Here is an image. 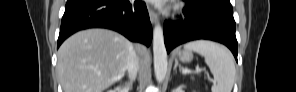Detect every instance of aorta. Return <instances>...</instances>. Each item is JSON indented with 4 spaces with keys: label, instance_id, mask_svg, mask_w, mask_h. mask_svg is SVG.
I'll return each instance as SVG.
<instances>
[{
    "label": "aorta",
    "instance_id": "obj_1",
    "mask_svg": "<svg viewBox=\"0 0 296 92\" xmlns=\"http://www.w3.org/2000/svg\"><path fill=\"white\" fill-rule=\"evenodd\" d=\"M154 71L158 83H162L167 73V51L164 43L163 30L158 24L153 30Z\"/></svg>",
    "mask_w": 296,
    "mask_h": 92
}]
</instances>
